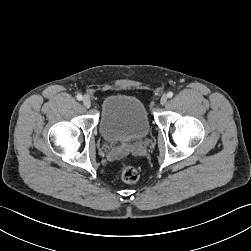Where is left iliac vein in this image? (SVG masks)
Returning <instances> with one entry per match:
<instances>
[{
	"mask_svg": "<svg viewBox=\"0 0 251 251\" xmlns=\"http://www.w3.org/2000/svg\"><path fill=\"white\" fill-rule=\"evenodd\" d=\"M168 97L167 95H162L161 99H160V104L163 106L167 103Z\"/></svg>",
	"mask_w": 251,
	"mask_h": 251,
	"instance_id": "1",
	"label": "left iliac vein"
}]
</instances>
